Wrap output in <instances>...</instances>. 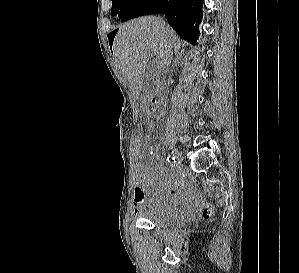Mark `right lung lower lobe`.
<instances>
[{
	"mask_svg": "<svg viewBox=\"0 0 299 273\" xmlns=\"http://www.w3.org/2000/svg\"><path fill=\"white\" fill-rule=\"evenodd\" d=\"M202 3L203 0H136L121 20L163 13L177 34L195 45L199 36L198 24L202 20Z\"/></svg>",
	"mask_w": 299,
	"mask_h": 273,
	"instance_id": "obj_1",
	"label": "right lung lower lobe"
}]
</instances>
